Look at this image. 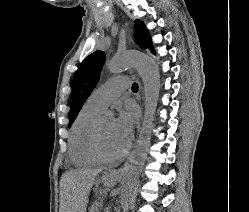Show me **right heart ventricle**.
Here are the masks:
<instances>
[{
	"instance_id": "1",
	"label": "right heart ventricle",
	"mask_w": 249,
	"mask_h": 212,
	"mask_svg": "<svg viewBox=\"0 0 249 212\" xmlns=\"http://www.w3.org/2000/svg\"><path fill=\"white\" fill-rule=\"evenodd\" d=\"M102 111L87 101L73 121L68 140V154L76 167H91L99 163L92 154L89 139L91 129Z\"/></svg>"
}]
</instances>
